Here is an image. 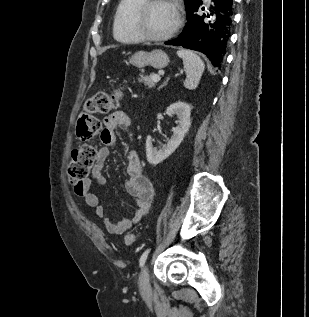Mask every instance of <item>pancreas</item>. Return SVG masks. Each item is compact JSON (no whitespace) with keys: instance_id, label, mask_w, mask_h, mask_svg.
Instances as JSON below:
<instances>
[{"instance_id":"1","label":"pancreas","mask_w":309,"mask_h":317,"mask_svg":"<svg viewBox=\"0 0 309 317\" xmlns=\"http://www.w3.org/2000/svg\"><path fill=\"white\" fill-rule=\"evenodd\" d=\"M152 76H153V74L148 75V76L141 75L139 78V81L144 83V85L147 86L148 88H152L156 84V82L153 81Z\"/></svg>"}]
</instances>
